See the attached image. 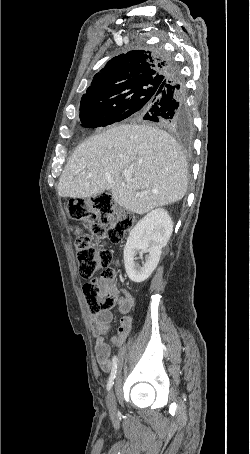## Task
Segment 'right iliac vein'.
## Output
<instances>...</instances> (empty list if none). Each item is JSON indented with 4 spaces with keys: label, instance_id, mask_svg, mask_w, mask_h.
<instances>
[{
    "label": "right iliac vein",
    "instance_id": "obj_1",
    "mask_svg": "<svg viewBox=\"0 0 250 454\" xmlns=\"http://www.w3.org/2000/svg\"><path fill=\"white\" fill-rule=\"evenodd\" d=\"M107 405L111 413H115L116 410V403H115V396L113 391H110L107 397Z\"/></svg>",
    "mask_w": 250,
    "mask_h": 454
}]
</instances>
